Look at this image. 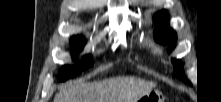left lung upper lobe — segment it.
Listing matches in <instances>:
<instances>
[{
  "mask_svg": "<svg viewBox=\"0 0 221 102\" xmlns=\"http://www.w3.org/2000/svg\"><path fill=\"white\" fill-rule=\"evenodd\" d=\"M155 19L161 24L154 30V39L162 44L169 45V51L174 47L176 43V33L170 29L168 25V14L166 11H161L156 14ZM174 70L176 76L182 78L181 64L179 60H173Z\"/></svg>",
  "mask_w": 221,
  "mask_h": 102,
  "instance_id": "left-lung-upper-lobe-1",
  "label": "left lung upper lobe"
}]
</instances>
